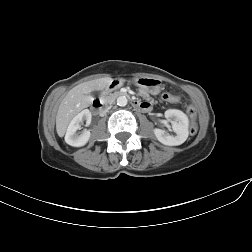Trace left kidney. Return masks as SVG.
I'll return each instance as SVG.
<instances>
[{"mask_svg": "<svg viewBox=\"0 0 252 252\" xmlns=\"http://www.w3.org/2000/svg\"><path fill=\"white\" fill-rule=\"evenodd\" d=\"M165 118L171 120L172 130L175 136L170 135L165 130L155 128L154 134L159 142L168 146H178L184 143L188 138V117L182 111L177 109H168L165 111Z\"/></svg>", "mask_w": 252, "mask_h": 252, "instance_id": "left-kidney-1", "label": "left kidney"}]
</instances>
